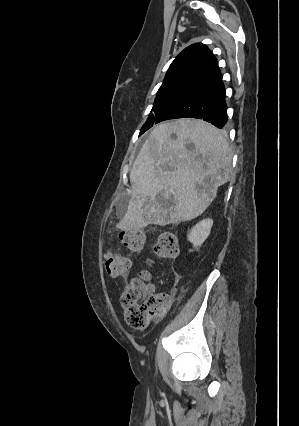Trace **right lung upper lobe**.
<instances>
[{
  "label": "right lung upper lobe",
  "mask_w": 299,
  "mask_h": 426,
  "mask_svg": "<svg viewBox=\"0 0 299 426\" xmlns=\"http://www.w3.org/2000/svg\"><path fill=\"white\" fill-rule=\"evenodd\" d=\"M222 78L217 60L201 43L185 48L171 63L162 85L189 84L195 87Z\"/></svg>",
  "instance_id": "cb5924a9"
}]
</instances>
